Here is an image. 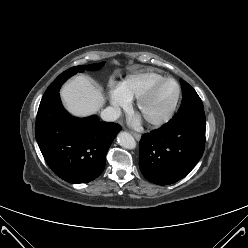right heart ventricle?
Instances as JSON below:
<instances>
[{
	"instance_id": "obj_1",
	"label": "right heart ventricle",
	"mask_w": 248,
	"mask_h": 248,
	"mask_svg": "<svg viewBox=\"0 0 248 248\" xmlns=\"http://www.w3.org/2000/svg\"><path fill=\"white\" fill-rule=\"evenodd\" d=\"M165 77L155 71H144L130 74L120 84L123 94L128 99H136L145 92L152 84L164 79Z\"/></svg>"
}]
</instances>
